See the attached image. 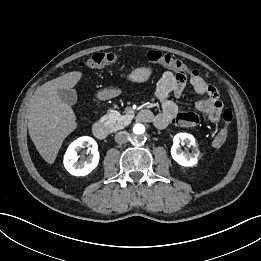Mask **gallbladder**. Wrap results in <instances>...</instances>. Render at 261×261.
<instances>
[{
	"instance_id": "1",
	"label": "gallbladder",
	"mask_w": 261,
	"mask_h": 261,
	"mask_svg": "<svg viewBox=\"0 0 261 261\" xmlns=\"http://www.w3.org/2000/svg\"><path fill=\"white\" fill-rule=\"evenodd\" d=\"M57 95L63 103L69 106L77 102V94L73 89H59Z\"/></svg>"
}]
</instances>
